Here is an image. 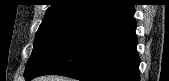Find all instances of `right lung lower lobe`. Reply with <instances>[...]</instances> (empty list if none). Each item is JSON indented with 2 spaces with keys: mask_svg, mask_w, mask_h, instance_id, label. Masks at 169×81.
I'll return each instance as SVG.
<instances>
[{
  "mask_svg": "<svg viewBox=\"0 0 169 81\" xmlns=\"http://www.w3.org/2000/svg\"><path fill=\"white\" fill-rule=\"evenodd\" d=\"M134 13L126 2L85 22L26 80L57 74L81 81H139Z\"/></svg>",
  "mask_w": 169,
  "mask_h": 81,
  "instance_id": "right-lung-lower-lobe-1",
  "label": "right lung lower lobe"
}]
</instances>
